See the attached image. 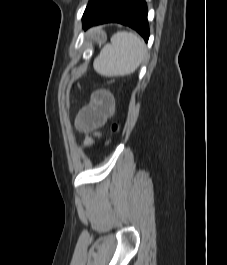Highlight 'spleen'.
Returning <instances> with one entry per match:
<instances>
[{
    "label": "spleen",
    "mask_w": 227,
    "mask_h": 265,
    "mask_svg": "<svg viewBox=\"0 0 227 265\" xmlns=\"http://www.w3.org/2000/svg\"><path fill=\"white\" fill-rule=\"evenodd\" d=\"M147 57L143 40L126 31L115 33L111 44H106L94 60L95 71L103 76H123L132 74Z\"/></svg>",
    "instance_id": "1"
}]
</instances>
